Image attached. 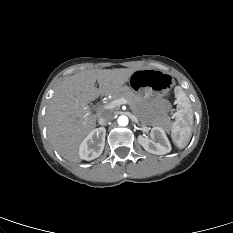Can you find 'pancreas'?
I'll use <instances>...</instances> for the list:
<instances>
[{"label": "pancreas", "mask_w": 233, "mask_h": 233, "mask_svg": "<svg viewBox=\"0 0 233 233\" xmlns=\"http://www.w3.org/2000/svg\"><path fill=\"white\" fill-rule=\"evenodd\" d=\"M121 98L126 99L133 113L137 115L138 117H140L138 109L143 103V99L139 95L135 94L128 86L123 87L119 93L113 95L114 100L121 99ZM152 124L159 125V126H165L166 124L170 125V122L168 119L154 120Z\"/></svg>", "instance_id": "pancreas-1"}]
</instances>
